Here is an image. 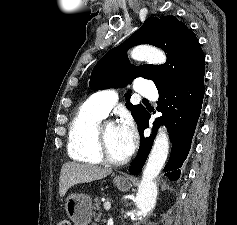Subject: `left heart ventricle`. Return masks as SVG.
Listing matches in <instances>:
<instances>
[{
    "label": "left heart ventricle",
    "instance_id": "left-heart-ventricle-1",
    "mask_svg": "<svg viewBox=\"0 0 237 225\" xmlns=\"http://www.w3.org/2000/svg\"><path fill=\"white\" fill-rule=\"evenodd\" d=\"M105 142L110 156L116 160L126 158L121 149L120 138L117 127L114 124H108L104 130Z\"/></svg>",
    "mask_w": 237,
    "mask_h": 225
}]
</instances>
